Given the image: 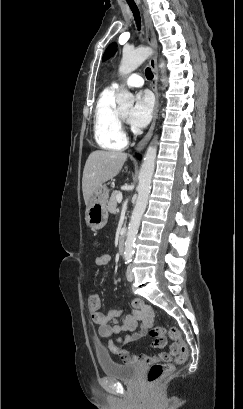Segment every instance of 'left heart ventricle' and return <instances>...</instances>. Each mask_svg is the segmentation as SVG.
Instances as JSON below:
<instances>
[{"label":"left heart ventricle","instance_id":"obj_1","mask_svg":"<svg viewBox=\"0 0 243 409\" xmlns=\"http://www.w3.org/2000/svg\"><path fill=\"white\" fill-rule=\"evenodd\" d=\"M129 111H130V107H125V108L119 109V112L123 117H127Z\"/></svg>","mask_w":243,"mask_h":409}]
</instances>
